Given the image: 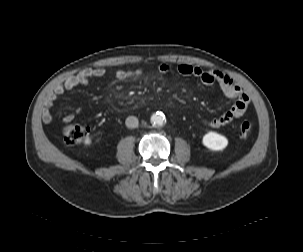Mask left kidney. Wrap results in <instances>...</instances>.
I'll use <instances>...</instances> for the list:
<instances>
[{"mask_svg":"<svg viewBox=\"0 0 303 252\" xmlns=\"http://www.w3.org/2000/svg\"><path fill=\"white\" fill-rule=\"evenodd\" d=\"M202 143L212 151H219L226 148L228 140L225 136L216 132H208L203 136Z\"/></svg>","mask_w":303,"mask_h":252,"instance_id":"5707ae66","label":"left kidney"}]
</instances>
